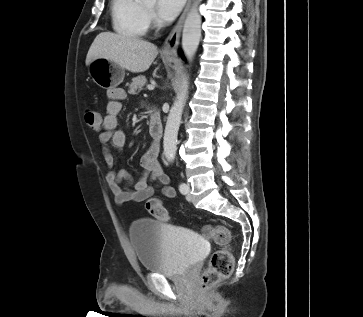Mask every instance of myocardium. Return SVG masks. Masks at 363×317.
<instances>
[{"label":"myocardium","instance_id":"f54148a6","mask_svg":"<svg viewBox=\"0 0 363 317\" xmlns=\"http://www.w3.org/2000/svg\"><path fill=\"white\" fill-rule=\"evenodd\" d=\"M144 8H145V11H146L147 14H149V15H152L153 14V10L152 9H149L146 6H144Z\"/></svg>","mask_w":363,"mask_h":317}]
</instances>
